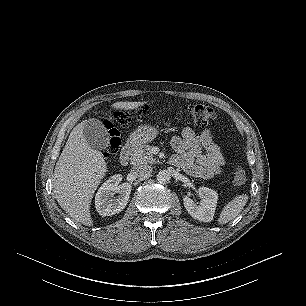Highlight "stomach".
Masks as SVG:
<instances>
[{
	"label": "stomach",
	"instance_id": "0dacf381",
	"mask_svg": "<svg viewBox=\"0 0 306 306\" xmlns=\"http://www.w3.org/2000/svg\"><path fill=\"white\" fill-rule=\"evenodd\" d=\"M158 133L157 128L150 125H143L131 133L130 141L137 145L145 144L154 140Z\"/></svg>",
	"mask_w": 306,
	"mask_h": 306
}]
</instances>
